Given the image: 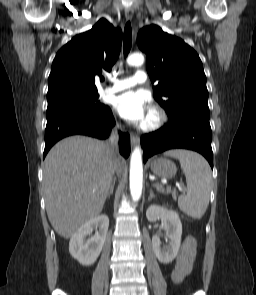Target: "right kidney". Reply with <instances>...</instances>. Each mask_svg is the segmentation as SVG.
Segmentation results:
<instances>
[{
	"label": "right kidney",
	"mask_w": 256,
	"mask_h": 295,
	"mask_svg": "<svg viewBox=\"0 0 256 295\" xmlns=\"http://www.w3.org/2000/svg\"><path fill=\"white\" fill-rule=\"evenodd\" d=\"M109 218L106 215L96 216L84 223L71 237L69 252L83 266L92 265L99 257L106 240ZM94 236H90L93 229Z\"/></svg>",
	"instance_id": "obj_1"
}]
</instances>
